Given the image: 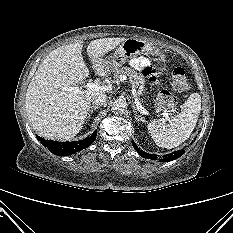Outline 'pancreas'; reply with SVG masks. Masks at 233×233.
<instances>
[{
	"label": "pancreas",
	"instance_id": "obj_1",
	"mask_svg": "<svg viewBox=\"0 0 233 233\" xmlns=\"http://www.w3.org/2000/svg\"><path fill=\"white\" fill-rule=\"evenodd\" d=\"M122 75H127L133 86L140 88L144 87L145 80L143 76L131 69L130 67L124 66L122 68L117 69L114 78L119 79Z\"/></svg>",
	"mask_w": 233,
	"mask_h": 233
}]
</instances>
